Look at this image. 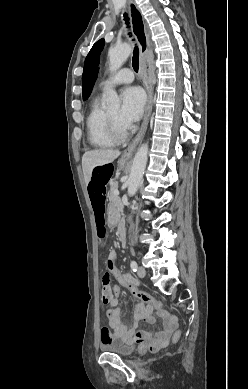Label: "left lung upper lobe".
<instances>
[{"mask_svg":"<svg viewBox=\"0 0 248 389\" xmlns=\"http://www.w3.org/2000/svg\"><path fill=\"white\" fill-rule=\"evenodd\" d=\"M105 44L104 39L97 41L90 52L88 53L85 63L82 77V94L83 100L87 99L92 92L93 86L97 79L98 65L100 62L99 56L103 50Z\"/></svg>","mask_w":248,"mask_h":389,"instance_id":"obj_1","label":"left lung upper lobe"}]
</instances>
